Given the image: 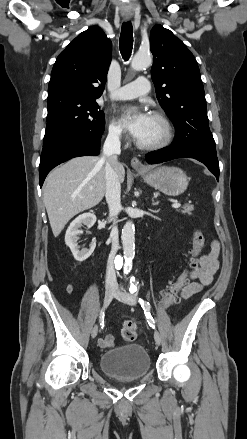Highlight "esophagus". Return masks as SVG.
Masks as SVG:
<instances>
[{
	"instance_id": "esophagus-1",
	"label": "esophagus",
	"mask_w": 247,
	"mask_h": 439,
	"mask_svg": "<svg viewBox=\"0 0 247 439\" xmlns=\"http://www.w3.org/2000/svg\"><path fill=\"white\" fill-rule=\"evenodd\" d=\"M129 16H124V20L128 21L129 20ZM131 166L134 169L140 170V169H145V166L143 165V163L137 158V157H133L131 159Z\"/></svg>"
}]
</instances>
